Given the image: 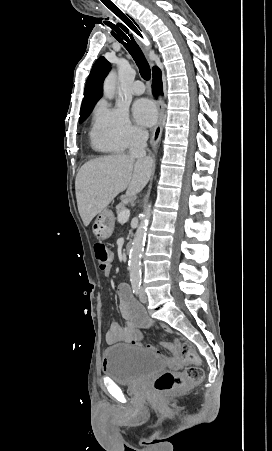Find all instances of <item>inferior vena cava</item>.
Wrapping results in <instances>:
<instances>
[{
  "mask_svg": "<svg viewBox=\"0 0 272 451\" xmlns=\"http://www.w3.org/2000/svg\"><path fill=\"white\" fill-rule=\"evenodd\" d=\"M148 132H143L139 130L134 134L131 144H130V154L134 158H145L146 152L145 148L147 146Z\"/></svg>",
  "mask_w": 272,
  "mask_h": 451,
  "instance_id": "602c4592",
  "label": "inferior vena cava"
}]
</instances>
